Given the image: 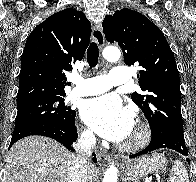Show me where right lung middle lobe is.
I'll list each match as a JSON object with an SVG mask.
<instances>
[{"mask_svg": "<svg viewBox=\"0 0 196 182\" xmlns=\"http://www.w3.org/2000/svg\"><path fill=\"white\" fill-rule=\"evenodd\" d=\"M64 97L65 95L39 98L18 104L15 127L35 121H54L73 125L76 112L65 105Z\"/></svg>", "mask_w": 196, "mask_h": 182, "instance_id": "dd1d6c3e", "label": "right lung middle lobe"}]
</instances>
